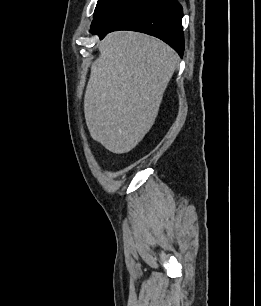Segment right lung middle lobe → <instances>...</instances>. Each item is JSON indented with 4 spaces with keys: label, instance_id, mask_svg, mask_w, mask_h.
I'll list each match as a JSON object with an SVG mask.
<instances>
[{
    "label": "right lung middle lobe",
    "instance_id": "1",
    "mask_svg": "<svg viewBox=\"0 0 261 306\" xmlns=\"http://www.w3.org/2000/svg\"><path fill=\"white\" fill-rule=\"evenodd\" d=\"M112 0H98L95 11L94 19L99 15V13L111 2ZM93 19V20H94Z\"/></svg>",
    "mask_w": 261,
    "mask_h": 306
}]
</instances>
